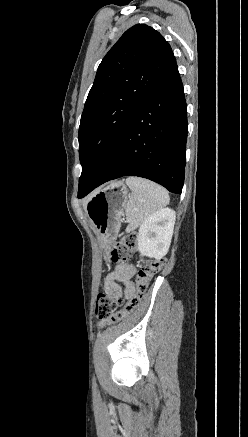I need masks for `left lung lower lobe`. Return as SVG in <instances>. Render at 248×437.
Wrapping results in <instances>:
<instances>
[{
  "mask_svg": "<svg viewBox=\"0 0 248 437\" xmlns=\"http://www.w3.org/2000/svg\"><path fill=\"white\" fill-rule=\"evenodd\" d=\"M187 128V105L175 64L132 114L109 160L81 197L122 176L144 177L181 194Z\"/></svg>",
  "mask_w": 248,
  "mask_h": 437,
  "instance_id": "1",
  "label": "left lung lower lobe"
}]
</instances>
